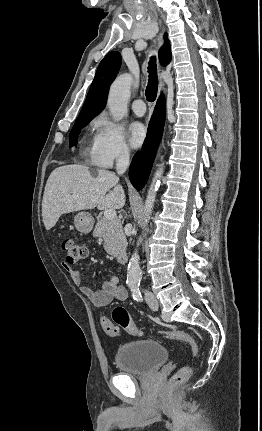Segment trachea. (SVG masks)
Returning <instances> with one entry per match:
<instances>
[{"label": "trachea", "instance_id": "trachea-1", "mask_svg": "<svg viewBox=\"0 0 262 431\" xmlns=\"http://www.w3.org/2000/svg\"><path fill=\"white\" fill-rule=\"evenodd\" d=\"M148 72H149V81L146 87L145 96L149 102H153L156 99L157 90H158V78H157L155 57H151L150 59Z\"/></svg>", "mask_w": 262, "mask_h": 431}]
</instances>
